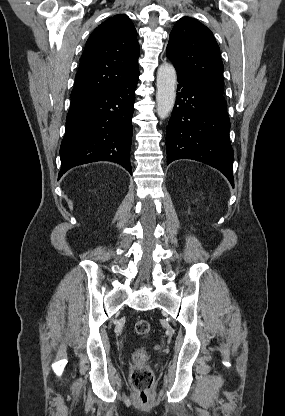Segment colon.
Returning a JSON list of instances; mask_svg holds the SVG:
<instances>
[{
    "label": "colon",
    "mask_w": 285,
    "mask_h": 416,
    "mask_svg": "<svg viewBox=\"0 0 285 416\" xmlns=\"http://www.w3.org/2000/svg\"><path fill=\"white\" fill-rule=\"evenodd\" d=\"M135 332L142 337L151 334V324L147 320H138L134 326ZM147 355L144 349H139L134 355L135 365L130 374V384L135 391L137 405L146 407L153 399L154 376L146 365Z\"/></svg>",
    "instance_id": "1"
}]
</instances>
